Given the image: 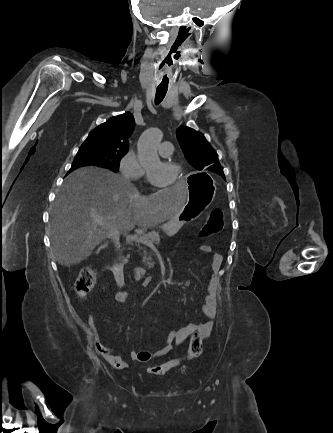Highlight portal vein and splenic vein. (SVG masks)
<instances>
[{
    "label": "portal vein and splenic vein",
    "mask_w": 333,
    "mask_h": 433,
    "mask_svg": "<svg viewBox=\"0 0 333 433\" xmlns=\"http://www.w3.org/2000/svg\"><path fill=\"white\" fill-rule=\"evenodd\" d=\"M96 223L102 224V221L101 220H96ZM113 232L116 235H118V236L121 233L119 230H114ZM127 238L131 239V240H134L136 242H141V243L146 244V245H152V242H150L146 236H140V237H138V236H127Z\"/></svg>",
    "instance_id": "obj_1"
}]
</instances>
